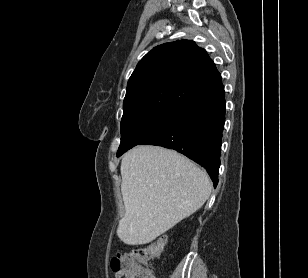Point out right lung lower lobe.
<instances>
[{"mask_svg":"<svg viewBox=\"0 0 308 278\" xmlns=\"http://www.w3.org/2000/svg\"><path fill=\"white\" fill-rule=\"evenodd\" d=\"M225 104L222 87L179 110L162 129L140 144L158 145L186 155L207 170L216 186Z\"/></svg>","mask_w":308,"mask_h":278,"instance_id":"98d812e1","label":"right lung lower lobe"}]
</instances>
